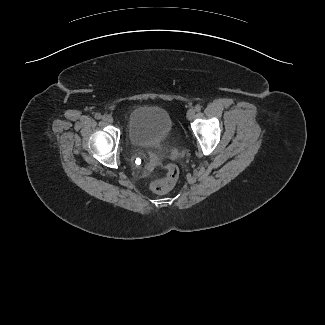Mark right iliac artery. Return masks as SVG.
I'll use <instances>...</instances> for the list:
<instances>
[{
	"mask_svg": "<svg viewBox=\"0 0 325 325\" xmlns=\"http://www.w3.org/2000/svg\"><path fill=\"white\" fill-rule=\"evenodd\" d=\"M95 118H96V119H101V118H102V116H101V114H100V113H96V114H95Z\"/></svg>",
	"mask_w": 325,
	"mask_h": 325,
	"instance_id": "1",
	"label": "right iliac artery"
}]
</instances>
